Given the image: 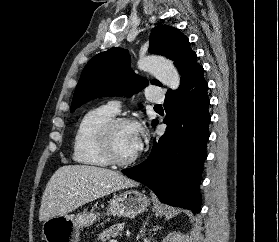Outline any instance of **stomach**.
<instances>
[{
  "label": "stomach",
  "mask_w": 279,
  "mask_h": 242,
  "mask_svg": "<svg viewBox=\"0 0 279 242\" xmlns=\"http://www.w3.org/2000/svg\"><path fill=\"white\" fill-rule=\"evenodd\" d=\"M150 199L136 190H126L109 203L107 213L118 217H134L145 210ZM100 216L93 211L65 214L49 218L43 223L42 235L46 242H78L80 230L92 225Z\"/></svg>",
  "instance_id": "obj_1"
}]
</instances>
